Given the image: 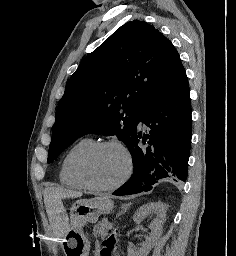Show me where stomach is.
<instances>
[{"mask_svg":"<svg viewBox=\"0 0 236 256\" xmlns=\"http://www.w3.org/2000/svg\"><path fill=\"white\" fill-rule=\"evenodd\" d=\"M113 209V202L106 197L81 199L70 209V229L65 237L64 251L66 256H88L90 243L83 232V226L95 223L99 216L108 214Z\"/></svg>","mask_w":236,"mask_h":256,"instance_id":"0dacf381","label":"stomach"}]
</instances>
